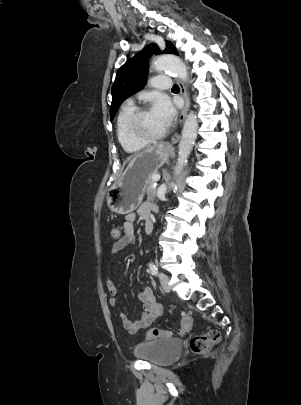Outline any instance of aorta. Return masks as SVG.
<instances>
[{
    "label": "aorta",
    "mask_w": 301,
    "mask_h": 405,
    "mask_svg": "<svg viewBox=\"0 0 301 405\" xmlns=\"http://www.w3.org/2000/svg\"><path fill=\"white\" fill-rule=\"evenodd\" d=\"M154 69L158 72H170L186 81L188 78L187 68L185 63L176 56L165 55L157 58L154 62ZM198 122L197 117L193 111H191L184 123L182 129L181 140L179 142V156L177 159V165L175 168V174L179 175L186 164L188 156L190 155L194 142L197 137ZM175 187V182L169 184V190Z\"/></svg>",
    "instance_id": "1"
}]
</instances>
